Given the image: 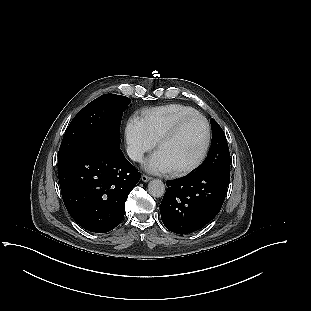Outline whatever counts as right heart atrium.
I'll return each mask as SVG.
<instances>
[{
    "mask_svg": "<svg viewBox=\"0 0 311 311\" xmlns=\"http://www.w3.org/2000/svg\"><path fill=\"white\" fill-rule=\"evenodd\" d=\"M125 140L130 158L140 162L144 155L151 151L155 142L147 134L141 119L132 116L125 125Z\"/></svg>",
    "mask_w": 311,
    "mask_h": 311,
    "instance_id": "d8ad5b80",
    "label": "right heart atrium"
}]
</instances>
